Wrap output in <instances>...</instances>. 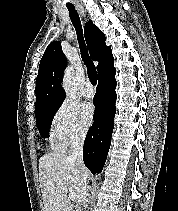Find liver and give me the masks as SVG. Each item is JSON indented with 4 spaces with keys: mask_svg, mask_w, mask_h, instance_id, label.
<instances>
[{
    "mask_svg": "<svg viewBox=\"0 0 178 211\" xmlns=\"http://www.w3.org/2000/svg\"><path fill=\"white\" fill-rule=\"evenodd\" d=\"M89 176V170L80 167L69 156L55 152L43 155L39 159V181L44 211H72L70 198L63 187L83 203L82 187Z\"/></svg>",
    "mask_w": 178,
    "mask_h": 211,
    "instance_id": "liver-1",
    "label": "liver"
}]
</instances>
